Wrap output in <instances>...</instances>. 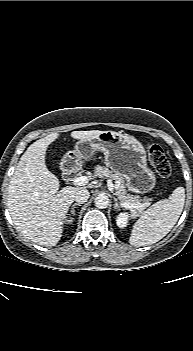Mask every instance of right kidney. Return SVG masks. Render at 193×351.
Returning a JSON list of instances; mask_svg holds the SVG:
<instances>
[{"label": "right kidney", "instance_id": "1", "mask_svg": "<svg viewBox=\"0 0 193 351\" xmlns=\"http://www.w3.org/2000/svg\"><path fill=\"white\" fill-rule=\"evenodd\" d=\"M68 223H72L73 219L71 218L70 220H67Z\"/></svg>", "mask_w": 193, "mask_h": 351}]
</instances>
